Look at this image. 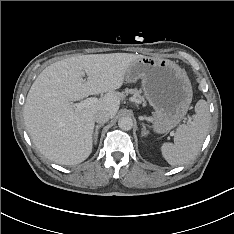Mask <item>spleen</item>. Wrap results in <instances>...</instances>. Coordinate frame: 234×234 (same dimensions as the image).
<instances>
[{
  "label": "spleen",
  "mask_w": 234,
  "mask_h": 234,
  "mask_svg": "<svg viewBox=\"0 0 234 234\" xmlns=\"http://www.w3.org/2000/svg\"><path fill=\"white\" fill-rule=\"evenodd\" d=\"M195 113L191 123L177 128L174 143L161 146L162 156L171 166L184 165L194 159L207 136L211 116L205 100L196 103Z\"/></svg>",
  "instance_id": "1"
}]
</instances>
